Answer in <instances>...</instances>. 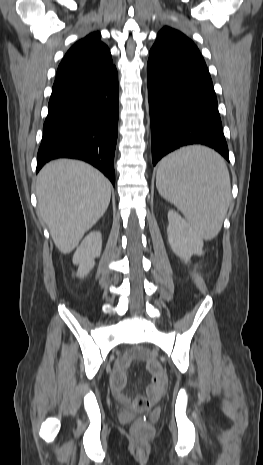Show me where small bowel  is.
Masks as SVG:
<instances>
[{
	"instance_id": "small-bowel-1",
	"label": "small bowel",
	"mask_w": 263,
	"mask_h": 465,
	"mask_svg": "<svg viewBox=\"0 0 263 465\" xmlns=\"http://www.w3.org/2000/svg\"><path fill=\"white\" fill-rule=\"evenodd\" d=\"M137 356L138 353L135 351L125 354L118 360L112 373L111 387L116 397L121 401L129 400V397L125 393V387L127 384V370L132 360H134ZM165 382L166 378L164 374L161 371L155 369L153 372V381L148 388V393H150L152 388H159L163 390Z\"/></svg>"
}]
</instances>
